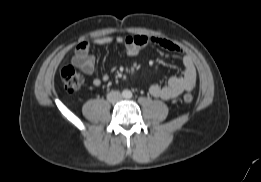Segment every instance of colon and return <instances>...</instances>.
I'll return each mask as SVG.
<instances>
[{"instance_id": "colon-1", "label": "colon", "mask_w": 261, "mask_h": 182, "mask_svg": "<svg viewBox=\"0 0 261 182\" xmlns=\"http://www.w3.org/2000/svg\"><path fill=\"white\" fill-rule=\"evenodd\" d=\"M61 77L66 90L69 92L78 91L84 85L83 76L72 67L63 68L61 71ZM192 100H193V96L190 93H186L183 96V101L187 104L191 103Z\"/></svg>"}]
</instances>
